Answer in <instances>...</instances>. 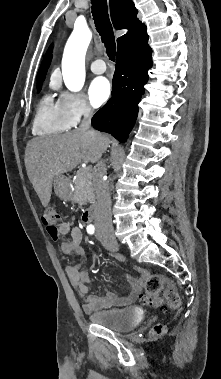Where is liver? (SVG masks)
<instances>
[{
  "mask_svg": "<svg viewBox=\"0 0 221 379\" xmlns=\"http://www.w3.org/2000/svg\"><path fill=\"white\" fill-rule=\"evenodd\" d=\"M109 144L108 136L79 129L30 140L25 150V166L42 205L49 204L56 176L72 171L81 161L97 162Z\"/></svg>",
  "mask_w": 221,
  "mask_h": 379,
  "instance_id": "1",
  "label": "liver"
}]
</instances>
